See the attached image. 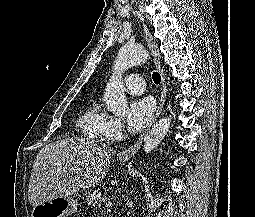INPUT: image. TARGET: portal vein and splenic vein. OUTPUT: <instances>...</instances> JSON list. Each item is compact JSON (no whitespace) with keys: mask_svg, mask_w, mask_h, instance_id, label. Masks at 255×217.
<instances>
[{"mask_svg":"<svg viewBox=\"0 0 255 217\" xmlns=\"http://www.w3.org/2000/svg\"><path fill=\"white\" fill-rule=\"evenodd\" d=\"M105 205H106V207H110V206L112 205V202L106 201V202H105Z\"/></svg>","mask_w":255,"mask_h":217,"instance_id":"obj_1","label":"portal vein and splenic vein"}]
</instances>
